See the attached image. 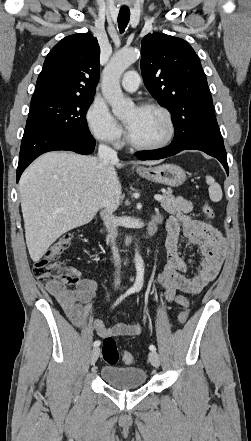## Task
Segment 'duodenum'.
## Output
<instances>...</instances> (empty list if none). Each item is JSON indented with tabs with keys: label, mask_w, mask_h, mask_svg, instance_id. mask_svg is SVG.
<instances>
[{
	"label": "duodenum",
	"mask_w": 251,
	"mask_h": 441,
	"mask_svg": "<svg viewBox=\"0 0 251 441\" xmlns=\"http://www.w3.org/2000/svg\"><path fill=\"white\" fill-rule=\"evenodd\" d=\"M158 224H159V221L157 219L153 218L151 220V222L149 223V225L147 227V231H146V236L148 238L152 237L157 232Z\"/></svg>",
	"instance_id": "410a0bca"
}]
</instances>
